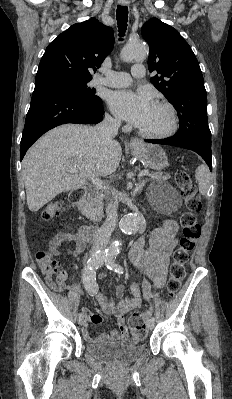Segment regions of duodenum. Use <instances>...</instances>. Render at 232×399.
Masks as SVG:
<instances>
[{
  "mask_svg": "<svg viewBox=\"0 0 232 399\" xmlns=\"http://www.w3.org/2000/svg\"><path fill=\"white\" fill-rule=\"evenodd\" d=\"M85 196L86 190L83 188H79L71 192L69 199L73 205L78 206L82 203ZM97 234L98 229L96 227L90 226L82 229L79 233V236L84 242L89 243L95 241Z\"/></svg>",
  "mask_w": 232,
  "mask_h": 399,
  "instance_id": "410a0bca",
  "label": "duodenum"
}]
</instances>
